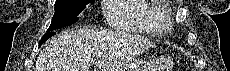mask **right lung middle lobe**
Instances as JSON below:
<instances>
[{"instance_id":"dd1d6c3e","label":"right lung middle lobe","mask_w":230,"mask_h":71,"mask_svg":"<svg viewBox=\"0 0 230 71\" xmlns=\"http://www.w3.org/2000/svg\"><path fill=\"white\" fill-rule=\"evenodd\" d=\"M95 0H56L55 14L47 31L56 30L78 21V15L87 4H93Z\"/></svg>"}]
</instances>
